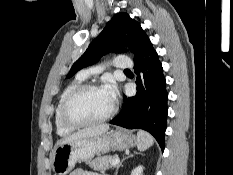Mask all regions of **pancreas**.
I'll list each match as a JSON object with an SVG mask.
<instances>
[{"label": "pancreas", "mask_w": 233, "mask_h": 175, "mask_svg": "<svg viewBox=\"0 0 233 175\" xmlns=\"http://www.w3.org/2000/svg\"><path fill=\"white\" fill-rule=\"evenodd\" d=\"M115 158H117V156H100L92 161H88L87 164L94 170L105 171L106 169L114 167V165H111V162Z\"/></svg>", "instance_id": "1"}]
</instances>
